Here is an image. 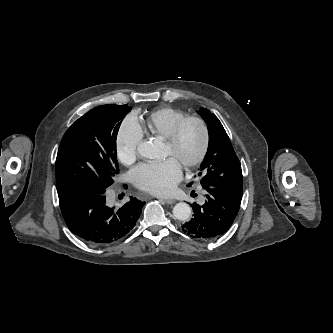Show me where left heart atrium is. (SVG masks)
Wrapping results in <instances>:
<instances>
[{
    "label": "left heart atrium",
    "mask_w": 333,
    "mask_h": 333,
    "mask_svg": "<svg viewBox=\"0 0 333 333\" xmlns=\"http://www.w3.org/2000/svg\"><path fill=\"white\" fill-rule=\"evenodd\" d=\"M181 178V165L174 158L142 163L130 172V179L136 187L155 195L170 194Z\"/></svg>",
    "instance_id": "obj_1"
}]
</instances>
